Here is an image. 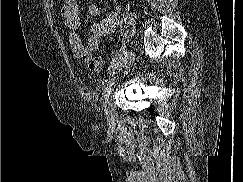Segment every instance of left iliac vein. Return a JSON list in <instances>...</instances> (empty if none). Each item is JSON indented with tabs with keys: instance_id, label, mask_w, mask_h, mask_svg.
I'll list each match as a JSON object with an SVG mask.
<instances>
[{
	"instance_id": "1",
	"label": "left iliac vein",
	"mask_w": 243,
	"mask_h": 182,
	"mask_svg": "<svg viewBox=\"0 0 243 182\" xmlns=\"http://www.w3.org/2000/svg\"><path fill=\"white\" fill-rule=\"evenodd\" d=\"M134 59H135V52H131L129 59H128L127 68H129L132 65V63L134 62ZM104 107H105V114H106V117H107L109 123H113L114 122V110L112 108L109 96L105 97Z\"/></svg>"
}]
</instances>
